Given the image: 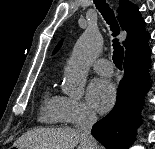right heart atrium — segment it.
Wrapping results in <instances>:
<instances>
[{"label":"right heart atrium","mask_w":155,"mask_h":149,"mask_svg":"<svg viewBox=\"0 0 155 149\" xmlns=\"http://www.w3.org/2000/svg\"><path fill=\"white\" fill-rule=\"evenodd\" d=\"M62 122L72 126L92 124L97 120L93 110L78 98L62 96Z\"/></svg>","instance_id":"right-heart-atrium-1"}]
</instances>
